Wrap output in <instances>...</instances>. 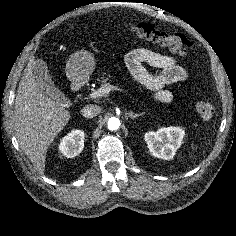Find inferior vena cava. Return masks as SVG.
<instances>
[{
	"label": "inferior vena cava",
	"mask_w": 236,
	"mask_h": 236,
	"mask_svg": "<svg viewBox=\"0 0 236 236\" xmlns=\"http://www.w3.org/2000/svg\"><path fill=\"white\" fill-rule=\"evenodd\" d=\"M100 112L101 108L94 104L85 105L81 110V114L85 118H93L97 116Z\"/></svg>",
	"instance_id": "obj_1"
}]
</instances>
